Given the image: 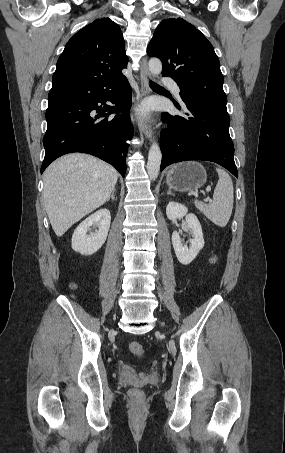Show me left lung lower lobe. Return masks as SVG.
<instances>
[{
  "label": "left lung lower lobe",
  "instance_id": "obj_1",
  "mask_svg": "<svg viewBox=\"0 0 285 453\" xmlns=\"http://www.w3.org/2000/svg\"><path fill=\"white\" fill-rule=\"evenodd\" d=\"M183 102L185 117L162 114L169 129L160 137V169L180 161L206 160L225 167L238 177L226 105L199 99H183Z\"/></svg>",
  "mask_w": 285,
  "mask_h": 453
}]
</instances>
